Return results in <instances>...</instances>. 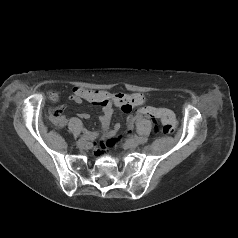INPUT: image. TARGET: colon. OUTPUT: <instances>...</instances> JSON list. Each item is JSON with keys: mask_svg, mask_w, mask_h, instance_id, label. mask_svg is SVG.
<instances>
[{"mask_svg": "<svg viewBox=\"0 0 238 238\" xmlns=\"http://www.w3.org/2000/svg\"><path fill=\"white\" fill-rule=\"evenodd\" d=\"M50 98L53 101L57 100V95L55 93L50 94ZM137 115L148 117L151 119H158L162 121V126L155 127V131H161L164 134H172L175 131L176 121L174 115L168 111L163 109L162 107H142L137 111ZM57 114L54 115L57 118ZM118 138H111L107 140L105 143H102L98 149V153H103L107 148L113 147L118 142Z\"/></svg>", "mask_w": 238, "mask_h": 238, "instance_id": "obj_1", "label": "colon"}]
</instances>
